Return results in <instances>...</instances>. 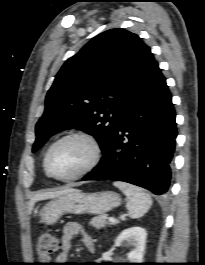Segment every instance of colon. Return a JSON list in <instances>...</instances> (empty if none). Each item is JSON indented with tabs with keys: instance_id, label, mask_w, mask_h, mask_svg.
<instances>
[{
	"instance_id": "1",
	"label": "colon",
	"mask_w": 205,
	"mask_h": 265,
	"mask_svg": "<svg viewBox=\"0 0 205 265\" xmlns=\"http://www.w3.org/2000/svg\"><path fill=\"white\" fill-rule=\"evenodd\" d=\"M59 242L50 232H41L37 237L36 250L43 262H48L57 252Z\"/></svg>"
}]
</instances>
